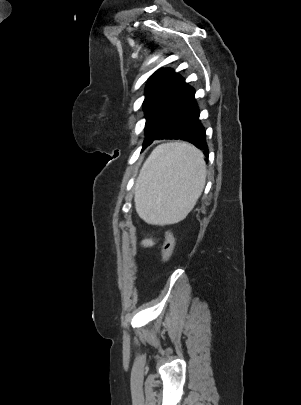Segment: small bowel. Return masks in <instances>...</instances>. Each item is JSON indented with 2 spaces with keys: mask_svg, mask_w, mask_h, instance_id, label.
I'll list each match as a JSON object with an SVG mask.
<instances>
[{
  "mask_svg": "<svg viewBox=\"0 0 301 405\" xmlns=\"http://www.w3.org/2000/svg\"><path fill=\"white\" fill-rule=\"evenodd\" d=\"M154 244H155V241L153 239H145L141 243L142 247H151Z\"/></svg>",
  "mask_w": 301,
  "mask_h": 405,
  "instance_id": "small-bowel-1",
  "label": "small bowel"
}]
</instances>
